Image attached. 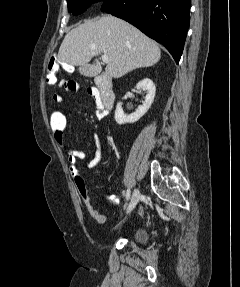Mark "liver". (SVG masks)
Here are the masks:
<instances>
[{
  "label": "liver",
  "instance_id": "obj_1",
  "mask_svg": "<svg viewBox=\"0 0 240 287\" xmlns=\"http://www.w3.org/2000/svg\"><path fill=\"white\" fill-rule=\"evenodd\" d=\"M101 53L109 57L104 74L113 78L153 66L161 57L157 43L136 27L112 15H104L67 33L59 48L58 60L63 65L81 66Z\"/></svg>",
  "mask_w": 240,
  "mask_h": 287
}]
</instances>
